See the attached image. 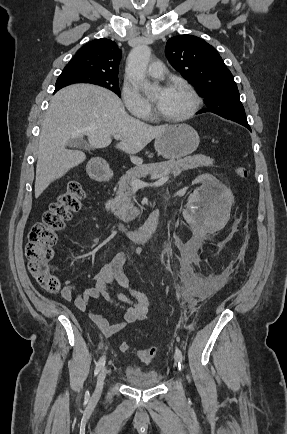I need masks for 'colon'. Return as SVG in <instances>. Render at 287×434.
I'll list each match as a JSON object with an SVG mask.
<instances>
[{
  "label": "colon",
  "mask_w": 287,
  "mask_h": 434,
  "mask_svg": "<svg viewBox=\"0 0 287 434\" xmlns=\"http://www.w3.org/2000/svg\"><path fill=\"white\" fill-rule=\"evenodd\" d=\"M236 171L241 178L247 177V171L244 167H238ZM84 198L85 191L81 181L78 178L70 180L64 191L44 212L41 221L36 222L29 232L25 247L29 272L40 286L50 294H58L61 290L59 279L49 267L54 257L58 234L65 229L66 224L80 210ZM119 348L122 352H126L129 350V345L124 342L120 344ZM156 355V347L143 349L138 353L139 358L145 362L150 361Z\"/></svg>",
  "instance_id": "5ec220e1"
}]
</instances>
